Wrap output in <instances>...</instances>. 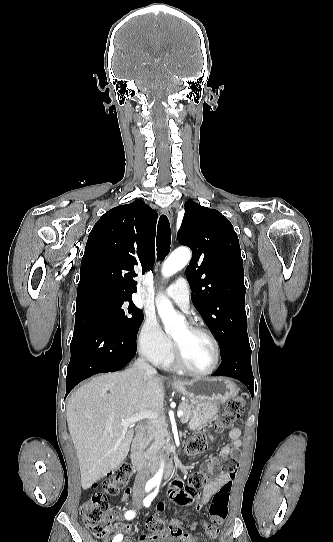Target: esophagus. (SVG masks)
Instances as JSON below:
<instances>
[{
    "mask_svg": "<svg viewBox=\"0 0 333 542\" xmlns=\"http://www.w3.org/2000/svg\"><path fill=\"white\" fill-rule=\"evenodd\" d=\"M163 213H164L165 215H167V217L172 221V218H173V211H172L171 207H165V208L163 209ZM177 382H179L178 379H173V380H172V383H177Z\"/></svg>",
    "mask_w": 333,
    "mask_h": 542,
    "instance_id": "1",
    "label": "esophagus"
}]
</instances>
